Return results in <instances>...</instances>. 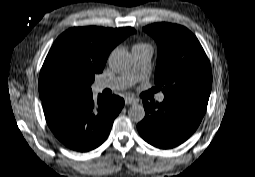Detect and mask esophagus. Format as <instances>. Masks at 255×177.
I'll use <instances>...</instances> for the list:
<instances>
[{
	"instance_id": "34e87169",
	"label": "esophagus",
	"mask_w": 255,
	"mask_h": 177,
	"mask_svg": "<svg viewBox=\"0 0 255 177\" xmlns=\"http://www.w3.org/2000/svg\"><path fill=\"white\" fill-rule=\"evenodd\" d=\"M138 100L132 97H126L125 98V104H137Z\"/></svg>"
}]
</instances>
